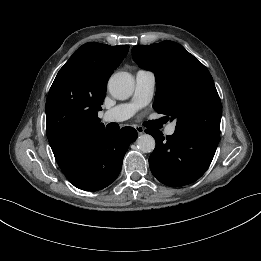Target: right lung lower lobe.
Instances as JSON below:
<instances>
[{
    "label": "right lung lower lobe",
    "mask_w": 261,
    "mask_h": 261,
    "mask_svg": "<svg viewBox=\"0 0 261 261\" xmlns=\"http://www.w3.org/2000/svg\"><path fill=\"white\" fill-rule=\"evenodd\" d=\"M137 138L132 127L120 131H103L87 154L64 173L77 188L97 191L110 185L119 175L129 144Z\"/></svg>",
    "instance_id": "98d812e1"
}]
</instances>
